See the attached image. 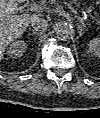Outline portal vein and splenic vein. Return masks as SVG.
I'll return each instance as SVG.
<instances>
[{
	"mask_svg": "<svg viewBox=\"0 0 100 118\" xmlns=\"http://www.w3.org/2000/svg\"><path fill=\"white\" fill-rule=\"evenodd\" d=\"M28 7L31 11L36 12V13H40L44 11V7L37 3H31L28 5Z\"/></svg>",
	"mask_w": 100,
	"mask_h": 118,
	"instance_id": "18ae733b",
	"label": "portal vein and splenic vein"
}]
</instances>
